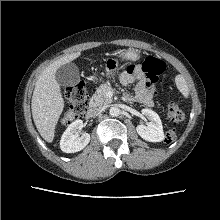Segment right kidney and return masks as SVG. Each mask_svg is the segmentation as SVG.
<instances>
[{"mask_svg": "<svg viewBox=\"0 0 220 220\" xmlns=\"http://www.w3.org/2000/svg\"><path fill=\"white\" fill-rule=\"evenodd\" d=\"M82 128V120H76L68 126L60 140V148L63 152L75 153L86 147L90 141V135L88 133H84L81 137H79L78 131Z\"/></svg>", "mask_w": 220, "mask_h": 220, "instance_id": "obj_1", "label": "right kidney"}]
</instances>
